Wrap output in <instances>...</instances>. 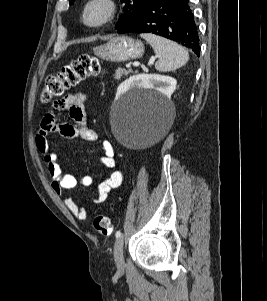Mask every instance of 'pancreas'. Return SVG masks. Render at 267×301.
<instances>
[{
  "label": "pancreas",
  "instance_id": "1",
  "mask_svg": "<svg viewBox=\"0 0 267 301\" xmlns=\"http://www.w3.org/2000/svg\"><path fill=\"white\" fill-rule=\"evenodd\" d=\"M131 71H127L125 70L124 68H118L116 71H115V79L116 80H119L121 79L122 76H127Z\"/></svg>",
  "mask_w": 267,
  "mask_h": 301
}]
</instances>
